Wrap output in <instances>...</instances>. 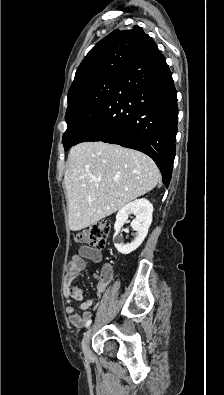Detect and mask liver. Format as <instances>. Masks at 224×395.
Instances as JSON below:
<instances>
[{"label": "liver", "instance_id": "6515ba94", "mask_svg": "<svg viewBox=\"0 0 224 395\" xmlns=\"http://www.w3.org/2000/svg\"><path fill=\"white\" fill-rule=\"evenodd\" d=\"M160 178L154 161L139 151L103 142L74 146L64 175L70 230L115 213L155 188Z\"/></svg>", "mask_w": 224, "mask_h": 395}]
</instances>
